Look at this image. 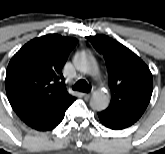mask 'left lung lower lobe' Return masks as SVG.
Listing matches in <instances>:
<instances>
[{"label": "left lung lower lobe", "instance_id": "0a47b994", "mask_svg": "<svg viewBox=\"0 0 165 154\" xmlns=\"http://www.w3.org/2000/svg\"><path fill=\"white\" fill-rule=\"evenodd\" d=\"M98 117L103 125H105L108 128L114 129V130L127 128L134 123L131 121H126V120H122V119H118V118L109 116L108 114H106L104 112H99Z\"/></svg>", "mask_w": 165, "mask_h": 154}]
</instances>
